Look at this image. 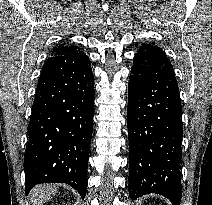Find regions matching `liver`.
Returning <instances> with one entry per match:
<instances>
[{
	"label": "liver",
	"instance_id": "obj_1",
	"mask_svg": "<svg viewBox=\"0 0 212 205\" xmlns=\"http://www.w3.org/2000/svg\"><path fill=\"white\" fill-rule=\"evenodd\" d=\"M57 189L58 187L54 184L35 186L30 193L33 205H43L46 201L55 196Z\"/></svg>",
	"mask_w": 212,
	"mask_h": 205
}]
</instances>
